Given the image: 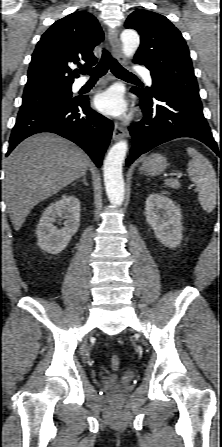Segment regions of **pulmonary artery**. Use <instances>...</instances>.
Segmentation results:
<instances>
[{
    "label": "pulmonary artery",
    "instance_id": "1",
    "mask_svg": "<svg viewBox=\"0 0 222 447\" xmlns=\"http://www.w3.org/2000/svg\"><path fill=\"white\" fill-rule=\"evenodd\" d=\"M135 71H136L137 73L143 75L144 78H145V80L147 81V83H149V84L152 83V79H151L150 73H149V71H148L147 69H145V68L142 67V66H136V67H135ZM86 82H87V79H85V78L79 79V80H77V81L74 83V88H75V89H79V88L82 87Z\"/></svg>",
    "mask_w": 222,
    "mask_h": 447
}]
</instances>
